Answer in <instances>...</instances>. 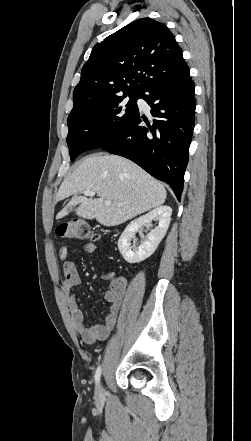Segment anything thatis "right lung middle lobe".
Segmentation results:
<instances>
[{
    "label": "right lung middle lobe",
    "instance_id": "obj_1",
    "mask_svg": "<svg viewBox=\"0 0 251 441\" xmlns=\"http://www.w3.org/2000/svg\"><path fill=\"white\" fill-rule=\"evenodd\" d=\"M138 98V94L121 95L88 100L74 106L67 120L71 161L80 153L99 148L110 137L117 135L138 111Z\"/></svg>",
    "mask_w": 251,
    "mask_h": 441
}]
</instances>
